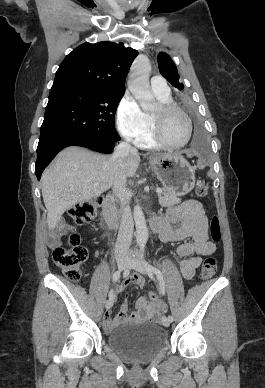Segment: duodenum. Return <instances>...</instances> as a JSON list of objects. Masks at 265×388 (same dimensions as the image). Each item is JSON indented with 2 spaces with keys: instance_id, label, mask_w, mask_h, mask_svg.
<instances>
[{
  "instance_id": "obj_1",
  "label": "duodenum",
  "mask_w": 265,
  "mask_h": 388,
  "mask_svg": "<svg viewBox=\"0 0 265 388\" xmlns=\"http://www.w3.org/2000/svg\"><path fill=\"white\" fill-rule=\"evenodd\" d=\"M102 212L107 225L114 229L119 224V213L115 205L114 195L105 196L102 204ZM150 226L154 233H161L164 230L165 224L160 217H154L150 220Z\"/></svg>"
}]
</instances>
